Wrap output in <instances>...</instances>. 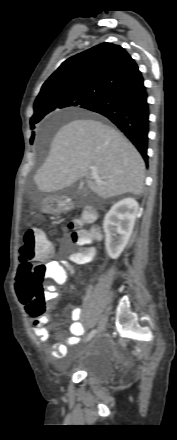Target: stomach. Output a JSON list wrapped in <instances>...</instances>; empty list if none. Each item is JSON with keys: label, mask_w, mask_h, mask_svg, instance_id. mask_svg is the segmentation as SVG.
<instances>
[{"label": "stomach", "mask_w": 177, "mask_h": 440, "mask_svg": "<svg viewBox=\"0 0 177 440\" xmlns=\"http://www.w3.org/2000/svg\"><path fill=\"white\" fill-rule=\"evenodd\" d=\"M40 207L44 212H55L60 208L59 204H55L54 199L52 197H48L40 203Z\"/></svg>", "instance_id": "0dacf381"}]
</instances>
